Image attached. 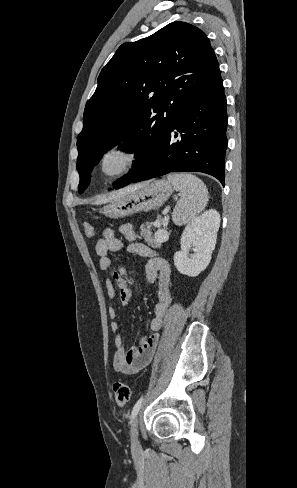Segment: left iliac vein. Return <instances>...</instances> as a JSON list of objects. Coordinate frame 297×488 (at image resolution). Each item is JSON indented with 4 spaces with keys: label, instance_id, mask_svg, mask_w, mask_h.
Returning <instances> with one entry per match:
<instances>
[{
    "label": "left iliac vein",
    "instance_id": "4c4485c4",
    "mask_svg": "<svg viewBox=\"0 0 297 488\" xmlns=\"http://www.w3.org/2000/svg\"><path fill=\"white\" fill-rule=\"evenodd\" d=\"M131 438H132V450L134 452L139 450V441H138V419L135 418L132 421L131 426Z\"/></svg>",
    "mask_w": 297,
    "mask_h": 488
}]
</instances>
